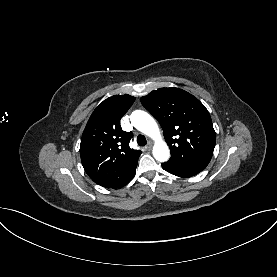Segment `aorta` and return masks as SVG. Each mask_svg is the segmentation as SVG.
<instances>
[{"instance_id": "1", "label": "aorta", "mask_w": 277, "mask_h": 277, "mask_svg": "<svg viewBox=\"0 0 277 277\" xmlns=\"http://www.w3.org/2000/svg\"><path fill=\"white\" fill-rule=\"evenodd\" d=\"M132 125L140 132L154 139L153 156L157 161L165 162L170 157L167 144L162 140L156 121L147 112L135 110L130 115Z\"/></svg>"}]
</instances>
